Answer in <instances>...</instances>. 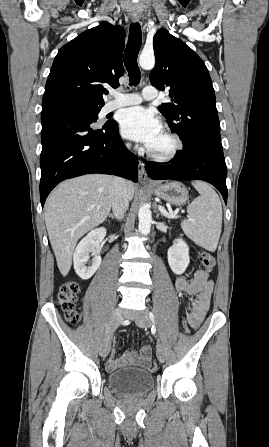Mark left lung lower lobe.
<instances>
[{
  "mask_svg": "<svg viewBox=\"0 0 269 447\" xmlns=\"http://www.w3.org/2000/svg\"><path fill=\"white\" fill-rule=\"evenodd\" d=\"M145 168L148 176L155 180H203L211 183L227 204V167L221 144L199 143L188 152H179L169 165L146 163Z\"/></svg>",
  "mask_w": 269,
  "mask_h": 447,
  "instance_id": "left-lung-lower-lobe-1",
  "label": "left lung lower lobe"
}]
</instances>
